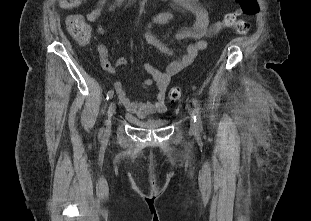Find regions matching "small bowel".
Returning <instances> with one entry per match:
<instances>
[{
    "mask_svg": "<svg viewBox=\"0 0 311 221\" xmlns=\"http://www.w3.org/2000/svg\"><path fill=\"white\" fill-rule=\"evenodd\" d=\"M119 2H121V0H99L95 8L86 14L87 21H97L105 8L113 10L115 5ZM174 5L179 10H186L193 13L196 17L193 27L180 31L176 35V39L178 41L190 39L194 42L186 45L180 52L176 53L162 44L151 33L146 34L148 43L157 48L161 53L167 56L177 55V58L170 61L162 71L158 70L152 64L147 63L144 65L145 71L150 75V78L145 79L141 85L142 87H148L152 84L156 85L157 92L154 101L146 103L133 101L128 97L127 90L122 82L117 81L114 84L120 102L128 112L139 118L146 117L150 114H162L166 111L165 99L171 78L190 65L196 56L207 48L204 37L216 31L218 21L212 24L210 23L207 11L198 0H174ZM173 19L174 13L163 12L154 17L152 24H166ZM104 30L105 28L102 24L98 25L97 31L99 33H103ZM97 50L100 55L101 65L106 72L114 74L116 68L126 66L127 61L123 57L118 58L113 65L109 60L105 46L99 45Z\"/></svg>",
    "mask_w": 311,
    "mask_h": 221,
    "instance_id": "c3829d8e",
    "label": "small bowel"
}]
</instances>
